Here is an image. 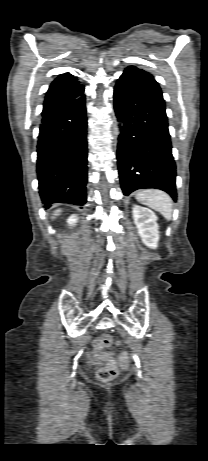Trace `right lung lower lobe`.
Instances as JSON below:
<instances>
[{"instance_id":"1","label":"right lung lower lobe","mask_w":208,"mask_h":461,"mask_svg":"<svg viewBox=\"0 0 208 461\" xmlns=\"http://www.w3.org/2000/svg\"><path fill=\"white\" fill-rule=\"evenodd\" d=\"M85 95L43 108L37 145L39 192L52 203L83 205L87 183Z\"/></svg>"}]
</instances>
